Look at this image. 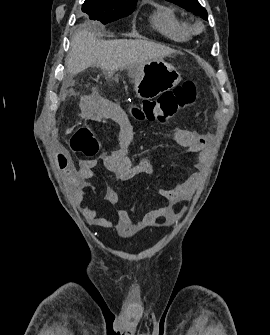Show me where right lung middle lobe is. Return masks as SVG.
Returning a JSON list of instances; mask_svg holds the SVG:
<instances>
[{
	"mask_svg": "<svg viewBox=\"0 0 270 335\" xmlns=\"http://www.w3.org/2000/svg\"><path fill=\"white\" fill-rule=\"evenodd\" d=\"M135 6L136 3L116 6H101L94 0H85L82 6V11L88 15L87 18L107 24L128 16L134 11Z\"/></svg>",
	"mask_w": 270,
	"mask_h": 335,
	"instance_id": "obj_1",
	"label": "right lung middle lobe"
}]
</instances>
